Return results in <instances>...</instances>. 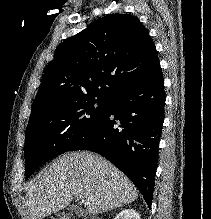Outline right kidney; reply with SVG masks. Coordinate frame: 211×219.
Wrapping results in <instances>:
<instances>
[{
    "label": "right kidney",
    "mask_w": 211,
    "mask_h": 219,
    "mask_svg": "<svg viewBox=\"0 0 211 219\" xmlns=\"http://www.w3.org/2000/svg\"><path fill=\"white\" fill-rule=\"evenodd\" d=\"M114 219H140V215L134 209H124Z\"/></svg>",
    "instance_id": "ca27d5eb"
}]
</instances>
